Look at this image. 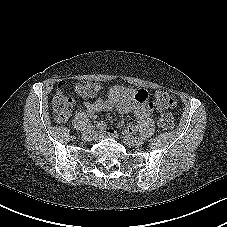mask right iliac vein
<instances>
[{"mask_svg": "<svg viewBox=\"0 0 227 227\" xmlns=\"http://www.w3.org/2000/svg\"><path fill=\"white\" fill-rule=\"evenodd\" d=\"M95 134H96L95 129H93V127L91 126V128H87V130L82 133V138L84 140L90 141L94 139Z\"/></svg>", "mask_w": 227, "mask_h": 227, "instance_id": "1", "label": "right iliac vein"}]
</instances>
